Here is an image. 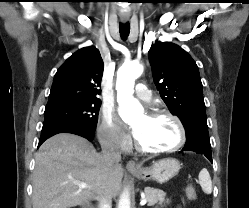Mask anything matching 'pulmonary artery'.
I'll use <instances>...</instances> for the list:
<instances>
[{
    "label": "pulmonary artery",
    "mask_w": 249,
    "mask_h": 208,
    "mask_svg": "<svg viewBox=\"0 0 249 208\" xmlns=\"http://www.w3.org/2000/svg\"><path fill=\"white\" fill-rule=\"evenodd\" d=\"M135 95L138 99L149 102L152 99L151 91L142 83H138L135 87Z\"/></svg>",
    "instance_id": "pulmonary-artery-1"
}]
</instances>
